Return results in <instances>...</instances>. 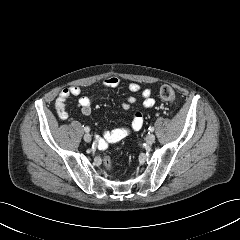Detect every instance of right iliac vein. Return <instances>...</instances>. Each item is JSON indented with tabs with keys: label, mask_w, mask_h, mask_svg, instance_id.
<instances>
[{
	"label": "right iliac vein",
	"mask_w": 240,
	"mask_h": 240,
	"mask_svg": "<svg viewBox=\"0 0 240 240\" xmlns=\"http://www.w3.org/2000/svg\"><path fill=\"white\" fill-rule=\"evenodd\" d=\"M83 138H84V141L88 143L91 142L92 140V137L89 133H86Z\"/></svg>",
	"instance_id": "63e3f726"
}]
</instances>
